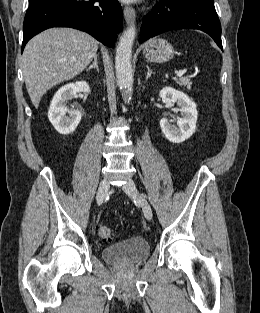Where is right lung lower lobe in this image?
<instances>
[{
	"label": "right lung lower lobe",
	"instance_id": "98d812e1",
	"mask_svg": "<svg viewBox=\"0 0 260 313\" xmlns=\"http://www.w3.org/2000/svg\"><path fill=\"white\" fill-rule=\"evenodd\" d=\"M51 27L79 29L113 47L122 29V8L117 0H29L22 51L33 36Z\"/></svg>",
	"mask_w": 260,
	"mask_h": 313
}]
</instances>
